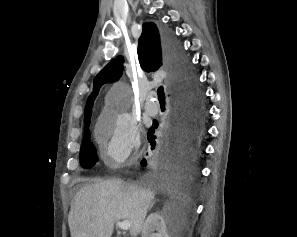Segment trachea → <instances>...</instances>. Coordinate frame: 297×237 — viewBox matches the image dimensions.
Returning <instances> with one entry per match:
<instances>
[{
	"mask_svg": "<svg viewBox=\"0 0 297 237\" xmlns=\"http://www.w3.org/2000/svg\"><path fill=\"white\" fill-rule=\"evenodd\" d=\"M157 94H158V99H159V101H165V93H164L163 86H160V87L157 89Z\"/></svg>",
	"mask_w": 297,
	"mask_h": 237,
	"instance_id": "obj_1",
	"label": "trachea"
}]
</instances>
